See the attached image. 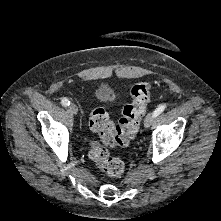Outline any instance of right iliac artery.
Listing matches in <instances>:
<instances>
[{
  "instance_id": "right-iliac-artery-1",
  "label": "right iliac artery",
  "mask_w": 221,
  "mask_h": 221,
  "mask_svg": "<svg viewBox=\"0 0 221 221\" xmlns=\"http://www.w3.org/2000/svg\"><path fill=\"white\" fill-rule=\"evenodd\" d=\"M61 103H62V105L65 106V107H67V106L70 105V101H69L67 98H63V99L61 100Z\"/></svg>"
}]
</instances>
